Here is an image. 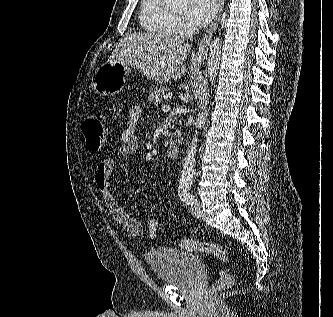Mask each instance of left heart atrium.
Masks as SVG:
<instances>
[{
    "instance_id": "1",
    "label": "left heart atrium",
    "mask_w": 333,
    "mask_h": 317,
    "mask_svg": "<svg viewBox=\"0 0 333 317\" xmlns=\"http://www.w3.org/2000/svg\"><path fill=\"white\" fill-rule=\"evenodd\" d=\"M217 0H189L186 18L196 27L206 25L216 14Z\"/></svg>"
}]
</instances>
